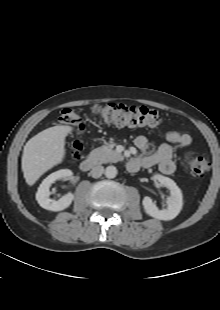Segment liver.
I'll return each instance as SVG.
<instances>
[{"mask_svg":"<svg viewBox=\"0 0 220 310\" xmlns=\"http://www.w3.org/2000/svg\"><path fill=\"white\" fill-rule=\"evenodd\" d=\"M71 126H54L32 137L24 146L22 171L32 186L45 172L60 164L65 157V138Z\"/></svg>","mask_w":220,"mask_h":310,"instance_id":"6515ba94","label":"liver"}]
</instances>
